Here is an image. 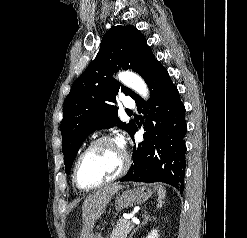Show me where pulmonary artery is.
<instances>
[{
    "label": "pulmonary artery",
    "instance_id": "1",
    "mask_svg": "<svg viewBox=\"0 0 247 238\" xmlns=\"http://www.w3.org/2000/svg\"><path fill=\"white\" fill-rule=\"evenodd\" d=\"M123 105H124V107H126L128 110H130V109L134 108L135 103H134V101H133L131 98L125 97V98L123 99Z\"/></svg>",
    "mask_w": 247,
    "mask_h": 238
}]
</instances>
